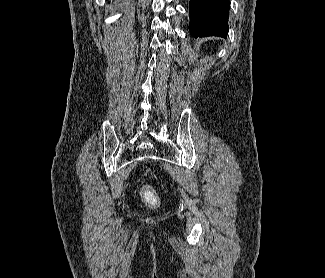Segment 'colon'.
Here are the masks:
<instances>
[{
  "label": "colon",
  "instance_id": "5ec220e1",
  "mask_svg": "<svg viewBox=\"0 0 325 278\" xmlns=\"http://www.w3.org/2000/svg\"><path fill=\"white\" fill-rule=\"evenodd\" d=\"M144 197L145 199L150 202V203H154L156 201V195L154 194V192L148 188L145 187L144 188Z\"/></svg>",
  "mask_w": 325,
  "mask_h": 278
}]
</instances>
